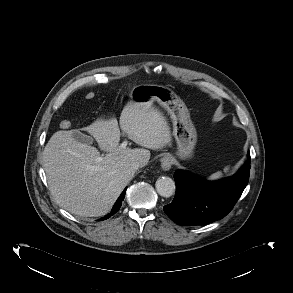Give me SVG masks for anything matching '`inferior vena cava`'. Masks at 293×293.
Masks as SVG:
<instances>
[{"instance_id": "obj_1", "label": "inferior vena cava", "mask_w": 293, "mask_h": 293, "mask_svg": "<svg viewBox=\"0 0 293 293\" xmlns=\"http://www.w3.org/2000/svg\"><path fill=\"white\" fill-rule=\"evenodd\" d=\"M146 161L145 160H139V161H136L132 164V168L134 170H137L138 168H142L146 165Z\"/></svg>"}]
</instances>
